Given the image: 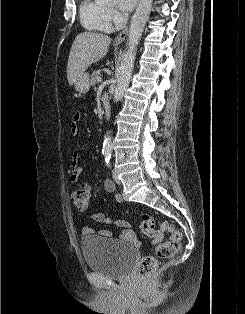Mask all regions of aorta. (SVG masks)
Wrapping results in <instances>:
<instances>
[{
	"label": "aorta",
	"instance_id": "762f6f07",
	"mask_svg": "<svg viewBox=\"0 0 245 314\" xmlns=\"http://www.w3.org/2000/svg\"><path fill=\"white\" fill-rule=\"evenodd\" d=\"M152 2L153 0L138 1L136 11L130 23L127 49L120 65V74L114 93V102H118L122 99L129 86L136 57L137 45L141 39L145 24L150 15ZM112 149L113 145L111 136L110 134H106L102 152L104 155H110L112 153Z\"/></svg>",
	"mask_w": 245,
	"mask_h": 314
}]
</instances>
